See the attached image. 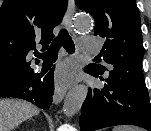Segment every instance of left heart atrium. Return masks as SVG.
I'll return each mask as SVG.
<instances>
[{
	"label": "left heart atrium",
	"instance_id": "39dd6f15",
	"mask_svg": "<svg viewBox=\"0 0 151 131\" xmlns=\"http://www.w3.org/2000/svg\"><path fill=\"white\" fill-rule=\"evenodd\" d=\"M57 83L59 86L64 87L73 79V71L68 66H62L59 68L56 74Z\"/></svg>",
	"mask_w": 151,
	"mask_h": 131
}]
</instances>
